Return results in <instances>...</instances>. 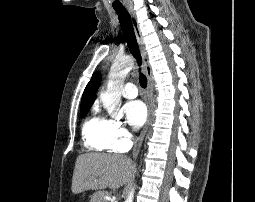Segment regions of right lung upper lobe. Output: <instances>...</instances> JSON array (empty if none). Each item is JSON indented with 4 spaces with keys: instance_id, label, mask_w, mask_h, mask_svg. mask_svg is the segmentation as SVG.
I'll return each instance as SVG.
<instances>
[{
    "instance_id": "obj_1",
    "label": "right lung upper lobe",
    "mask_w": 255,
    "mask_h": 202,
    "mask_svg": "<svg viewBox=\"0 0 255 202\" xmlns=\"http://www.w3.org/2000/svg\"><path fill=\"white\" fill-rule=\"evenodd\" d=\"M101 75L100 73L96 72L92 75L90 82L87 84L81 101L82 106H92L95 98H96V91L100 85Z\"/></svg>"
}]
</instances>
